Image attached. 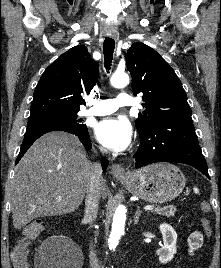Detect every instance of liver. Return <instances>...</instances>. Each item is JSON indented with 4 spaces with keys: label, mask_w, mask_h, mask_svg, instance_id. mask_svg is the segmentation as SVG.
Instances as JSON below:
<instances>
[{
    "label": "liver",
    "mask_w": 221,
    "mask_h": 268,
    "mask_svg": "<svg viewBox=\"0 0 221 268\" xmlns=\"http://www.w3.org/2000/svg\"><path fill=\"white\" fill-rule=\"evenodd\" d=\"M92 166L74 135L51 132L40 137L15 168L14 228L21 229L39 217L68 214L78 209L90 185ZM107 193L103 180L102 197L106 198Z\"/></svg>",
    "instance_id": "1"
}]
</instances>
